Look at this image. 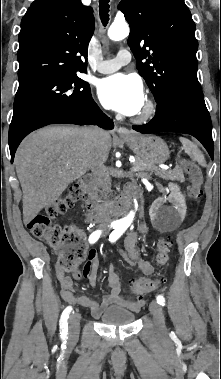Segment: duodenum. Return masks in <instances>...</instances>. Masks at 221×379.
Wrapping results in <instances>:
<instances>
[{
  "mask_svg": "<svg viewBox=\"0 0 221 379\" xmlns=\"http://www.w3.org/2000/svg\"><path fill=\"white\" fill-rule=\"evenodd\" d=\"M80 186L88 193V200L85 205L87 219L94 223H99L108 217H119L125 214L133 206V200L137 197L135 187L129 185L125 195L118 197L109 204H102L94 198L90 176L82 177Z\"/></svg>",
  "mask_w": 221,
  "mask_h": 379,
  "instance_id": "410a0bca",
  "label": "duodenum"
}]
</instances>
